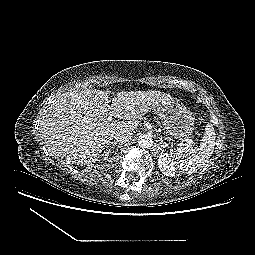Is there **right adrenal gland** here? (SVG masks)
Instances as JSON below:
<instances>
[{
	"label": "right adrenal gland",
	"mask_w": 255,
	"mask_h": 255,
	"mask_svg": "<svg viewBox=\"0 0 255 255\" xmlns=\"http://www.w3.org/2000/svg\"><path fill=\"white\" fill-rule=\"evenodd\" d=\"M123 143H121V142H117V141H114V142H111V148H115V147H117V148H119L120 147V145H122Z\"/></svg>",
	"instance_id": "2a0ac1e0"
}]
</instances>
